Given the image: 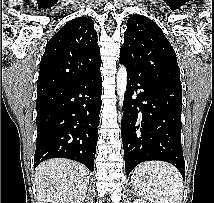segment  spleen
I'll return each mask as SVG.
<instances>
[{
  "mask_svg": "<svg viewBox=\"0 0 214 203\" xmlns=\"http://www.w3.org/2000/svg\"><path fill=\"white\" fill-rule=\"evenodd\" d=\"M136 195L150 203H181L183 180L179 171L164 162L137 166L131 176Z\"/></svg>",
  "mask_w": 214,
  "mask_h": 203,
  "instance_id": "1",
  "label": "spleen"
}]
</instances>
